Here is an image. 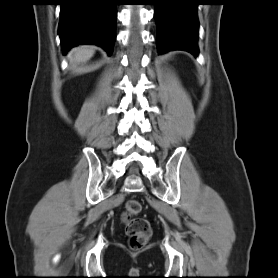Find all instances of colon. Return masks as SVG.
<instances>
[{
    "instance_id": "5ec220e1",
    "label": "colon",
    "mask_w": 278,
    "mask_h": 278,
    "mask_svg": "<svg viewBox=\"0 0 278 278\" xmlns=\"http://www.w3.org/2000/svg\"><path fill=\"white\" fill-rule=\"evenodd\" d=\"M141 208L139 201L131 199L127 201L122 217L131 246L135 249L142 247L151 235V227L148 220L138 217Z\"/></svg>"
}]
</instances>
